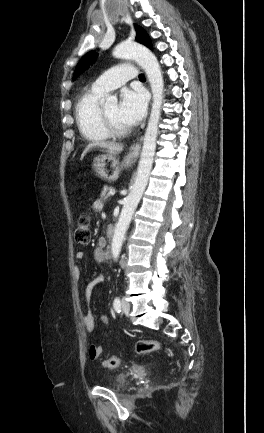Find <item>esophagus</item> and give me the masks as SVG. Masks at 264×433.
<instances>
[{
    "mask_svg": "<svg viewBox=\"0 0 264 433\" xmlns=\"http://www.w3.org/2000/svg\"><path fill=\"white\" fill-rule=\"evenodd\" d=\"M142 139L143 138L141 137L136 143L131 145L129 152L127 154L128 160H136L137 159V157L139 156V153H140Z\"/></svg>",
    "mask_w": 264,
    "mask_h": 433,
    "instance_id": "esophagus-1",
    "label": "esophagus"
}]
</instances>
